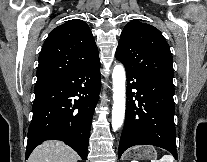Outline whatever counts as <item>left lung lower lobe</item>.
Wrapping results in <instances>:
<instances>
[{
  "instance_id": "0a47b994",
  "label": "left lung lower lobe",
  "mask_w": 207,
  "mask_h": 162,
  "mask_svg": "<svg viewBox=\"0 0 207 162\" xmlns=\"http://www.w3.org/2000/svg\"><path fill=\"white\" fill-rule=\"evenodd\" d=\"M126 75L128 98L119 158L129 147L150 144L168 150L177 160L173 83L151 79L129 69ZM132 89L137 92H131ZM134 94L136 100L132 99Z\"/></svg>"
}]
</instances>
